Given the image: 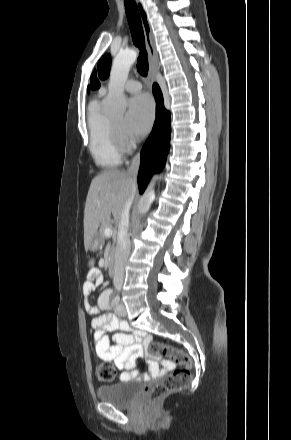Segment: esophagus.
Returning <instances> with one entry per match:
<instances>
[{
    "instance_id": "esophagus-1",
    "label": "esophagus",
    "mask_w": 291,
    "mask_h": 440,
    "mask_svg": "<svg viewBox=\"0 0 291 440\" xmlns=\"http://www.w3.org/2000/svg\"><path fill=\"white\" fill-rule=\"evenodd\" d=\"M137 8L140 14V19L142 22V27L144 31V37H145V43L146 48L148 51L149 61H150V67H149V76H148V82L149 84H152L154 82V63L157 59L156 49L154 46V40H153V33L152 28L148 19L147 12L144 9L143 4L136 0Z\"/></svg>"
}]
</instances>
